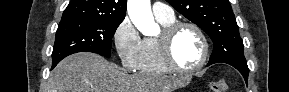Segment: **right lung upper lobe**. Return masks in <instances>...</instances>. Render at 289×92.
<instances>
[{"label": "right lung upper lobe", "mask_w": 289, "mask_h": 92, "mask_svg": "<svg viewBox=\"0 0 289 92\" xmlns=\"http://www.w3.org/2000/svg\"><path fill=\"white\" fill-rule=\"evenodd\" d=\"M126 3L127 0H71L61 19L122 22L126 14Z\"/></svg>", "instance_id": "right-lung-upper-lobe-1"}]
</instances>
